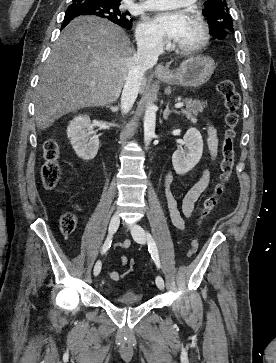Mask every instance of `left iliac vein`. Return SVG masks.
Wrapping results in <instances>:
<instances>
[{"mask_svg": "<svg viewBox=\"0 0 276 363\" xmlns=\"http://www.w3.org/2000/svg\"><path fill=\"white\" fill-rule=\"evenodd\" d=\"M131 232H132V236H133L134 240L137 243L145 244V242H146V233H145L144 229L140 225L134 223L132 225ZM156 285L160 290L164 289V286H165L164 280L160 275H158L156 277Z\"/></svg>", "mask_w": 276, "mask_h": 363, "instance_id": "obj_1", "label": "left iliac vein"}]
</instances>
